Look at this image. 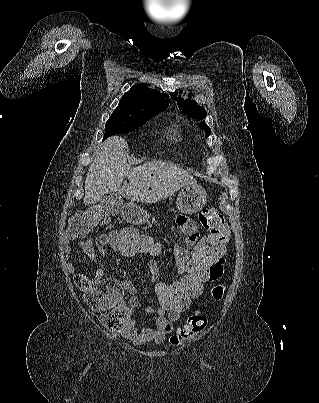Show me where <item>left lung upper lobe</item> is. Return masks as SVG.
Wrapping results in <instances>:
<instances>
[{"label": "left lung upper lobe", "instance_id": "left-lung-upper-lobe-1", "mask_svg": "<svg viewBox=\"0 0 319 403\" xmlns=\"http://www.w3.org/2000/svg\"><path fill=\"white\" fill-rule=\"evenodd\" d=\"M171 98L177 100V104L180 110L187 115L188 117H192L197 120H203L207 113L205 109L191 99L183 100L177 94H170ZM201 128L206 131V135L209 136L211 134V129L205 124V121L201 122Z\"/></svg>", "mask_w": 319, "mask_h": 403}]
</instances>
